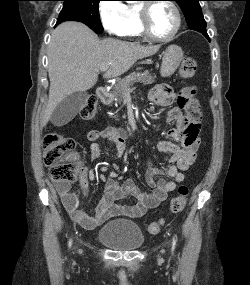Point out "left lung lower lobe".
<instances>
[{"label": "left lung lower lobe", "instance_id": "obj_1", "mask_svg": "<svg viewBox=\"0 0 250 285\" xmlns=\"http://www.w3.org/2000/svg\"><path fill=\"white\" fill-rule=\"evenodd\" d=\"M209 41H210V38L208 36V34L206 32L202 33Z\"/></svg>", "mask_w": 250, "mask_h": 285}]
</instances>
